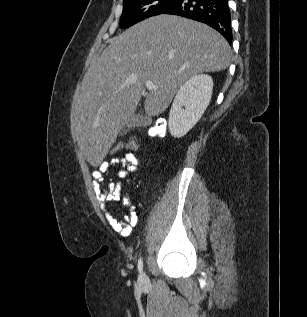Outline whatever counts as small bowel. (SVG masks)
Instances as JSON below:
<instances>
[{
	"label": "small bowel",
	"mask_w": 307,
	"mask_h": 317,
	"mask_svg": "<svg viewBox=\"0 0 307 317\" xmlns=\"http://www.w3.org/2000/svg\"><path fill=\"white\" fill-rule=\"evenodd\" d=\"M139 161L133 153H125L121 156L112 157L108 161L100 163L93 172L94 189L98 197L101 210L106 215L110 226L120 235L129 236L138 223L136 208L127 195H123V182H115L111 178L112 170L120 178H126L128 173L139 169ZM106 183V187H103ZM122 201L130 209L128 215L123 219H117L111 212L109 206L113 201Z\"/></svg>",
	"instance_id": "small-bowel-1"
}]
</instances>
